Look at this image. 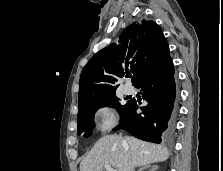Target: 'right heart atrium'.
Wrapping results in <instances>:
<instances>
[{
  "label": "right heart atrium",
  "instance_id": "obj_1",
  "mask_svg": "<svg viewBox=\"0 0 223 171\" xmlns=\"http://www.w3.org/2000/svg\"><path fill=\"white\" fill-rule=\"evenodd\" d=\"M94 117L96 128L102 132L112 129L117 122L115 112L110 106L99 107Z\"/></svg>",
  "mask_w": 223,
  "mask_h": 171
}]
</instances>
